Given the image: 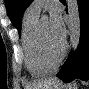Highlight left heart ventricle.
Instances as JSON below:
<instances>
[{
  "label": "left heart ventricle",
  "instance_id": "1",
  "mask_svg": "<svg viewBox=\"0 0 89 89\" xmlns=\"http://www.w3.org/2000/svg\"><path fill=\"white\" fill-rule=\"evenodd\" d=\"M42 38L47 52L55 57L61 50L62 42L55 39L51 33L50 23L48 21L41 22Z\"/></svg>",
  "mask_w": 89,
  "mask_h": 89
}]
</instances>
